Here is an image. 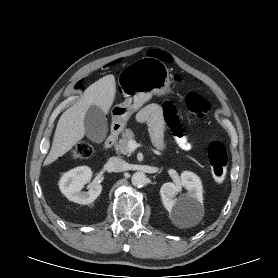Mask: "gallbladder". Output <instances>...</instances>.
Wrapping results in <instances>:
<instances>
[{
  "mask_svg": "<svg viewBox=\"0 0 278 278\" xmlns=\"http://www.w3.org/2000/svg\"><path fill=\"white\" fill-rule=\"evenodd\" d=\"M85 133L89 140L102 143L108 133L107 118L105 113L96 105H91L84 118Z\"/></svg>",
  "mask_w": 278,
  "mask_h": 278,
  "instance_id": "1",
  "label": "gallbladder"
}]
</instances>
